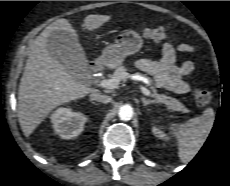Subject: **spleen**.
Listing matches in <instances>:
<instances>
[{"instance_id": "spleen-1", "label": "spleen", "mask_w": 230, "mask_h": 186, "mask_svg": "<svg viewBox=\"0 0 230 186\" xmlns=\"http://www.w3.org/2000/svg\"><path fill=\"white\" fill-rule=\"evenodd\" d=\"M214 123V110L207 108L203 115L182 124H170L169 129L178 141V156L183 163L191 161L205 143Z\"/></svg>"}]
</instances>
